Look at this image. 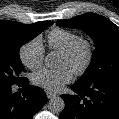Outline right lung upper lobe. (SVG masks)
<instances>
[{"instance_id":"1","label":"right lung upper lobe","mask_w":119,"mask_h":119,"mask_svg":"<svg viewBox=\"0 0 119 119\" xmlns=\"http://www.w3.org/2000/svg\"><path fill=\"white\" fill-rule=\"evenodd\" d=\"M14 23H17V22H14V21H0V25L2 24L5 27L10 26Z\"/></svg>"}]
</instances>
